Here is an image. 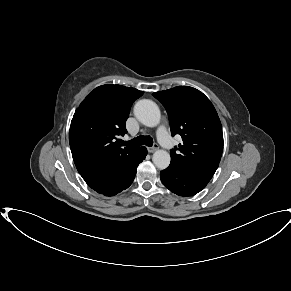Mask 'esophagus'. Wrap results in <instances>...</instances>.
Returning <instances> with one entry per match:
<instances>
[{
	"mask_svg": "<svg viewBox=\"0 0 291 291\" xmlns=\"http://www.w3.org/2000/svg\"><path fill=\"white\" fill-rule=\"evenodd\" d=\"M158 149V145L154 144L152 147H148L147 150L149 153H153Z\"/></svg>",
	"mask_w": 291,
	"mask_h": 291,
	"instance_id": "obj_1",
	"label": "esophagus"
}]
</instances>
